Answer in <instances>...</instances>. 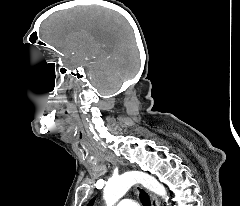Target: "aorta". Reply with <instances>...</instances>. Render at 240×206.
Wrapping results in <instances>:
<instances>
[{"mask_svg": "<svg viewBox=\"0 0 240 206\" xmlns=\"http://www.w3.org/2000/svg\"><path fill=\"white\" fill-rule=\"evenodd\" d=\"M136 183L153 191L168 201L167 191L157 179L143 172H127L117 178H111L104 188V200L107 206H113Z\"/></svg>", "mask_w": 240, "mask_h": 206, "instance_id": "aorta-1", "label": "aorta"}]
</instances>
